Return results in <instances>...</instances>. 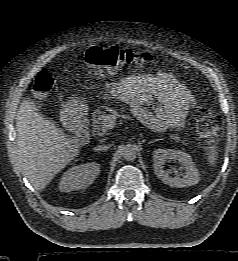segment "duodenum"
Segmentation results:
<instances>
[{
    "mask_svg": "<svg viewBox=\"0 0 238 261\" xmlns=\"http://www.w3.org/2000/svg\"><path fill=\"white\" fill-rule=\"evenodd\" d=\"M66 123L76 131V142L85 144L89 139V118L82 112H70L66 115Z\"/></svg>",
    "mask_w": 238,
    "mask_h": 261,
    "instance_id": "1",
    "label": "duodenum"
}]
</instances>
